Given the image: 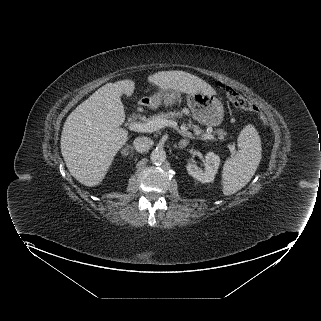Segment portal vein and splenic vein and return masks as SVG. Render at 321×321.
Listing matches in <instances>:
<instances>
[{"label":"portal vein and splenic vein","instance_id":"obj_1","mask_svg":"<svg viewBox=\"0 0 321 321\" xmlns=\"http://www.w3.org/2000/svg\"><path fill=\"white\" fill-rule=\"evenodd\" d=\"M165 126H171L177 129L176 122L170 121V120H162V119H154V120L147 121L146 123L133 122L129 125V129L132 131L143 133V132H153ZM179 133L183 136L194 138V135L189 131L180 130ZM196 135H199V133H196ZM198 138L211 140V139H214V136L208 133V134H202ZM229 148L231 149V151H234L235 149V147L232 145H229Z\"/></svg>","mask_w":321,"mask_h":321}]
</instances>
